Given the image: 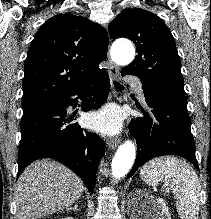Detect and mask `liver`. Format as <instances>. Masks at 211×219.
Masks as SVG:
<instances>
[{
  "instance_id": "liver-1",
  "label": "liver",
  "mask_w": 211,
  "mask_h": 219,
  "mask_svg": "<svg viewBox=\"0 0 211 219\" xmlns=\"http://www.w3.org/2000/svg\"><path fill=\"white\" fill-rule=\"evenodd\" d=\"M84 188L82 180L59 162L35 161L17 182L18 219H37L67 209L81 197Z\"/></svg>"
}]
</instances>
